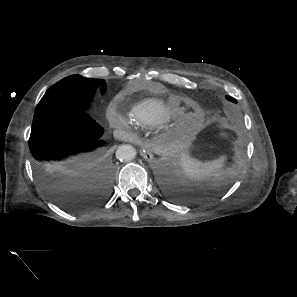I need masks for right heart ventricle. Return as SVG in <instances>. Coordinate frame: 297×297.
<instances>
[{"mask_svg":"<svg viewBox=\"0 0 297 297\" xmlns=\"http://www.w3.org/2000/svg\"><path fill=\"white\" fill-rule=\"evenodd\" d=\"M180 108L155 98L145 99L135 104L129 112L130 121L140 127H154L175 120Z\"/></svg>","mask_w":297,"mask_h":297,"instance_id":"e07e8e85","label":"right heart ventricle"}]
</instances>
